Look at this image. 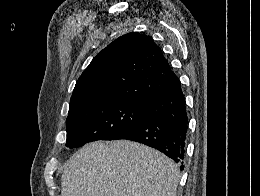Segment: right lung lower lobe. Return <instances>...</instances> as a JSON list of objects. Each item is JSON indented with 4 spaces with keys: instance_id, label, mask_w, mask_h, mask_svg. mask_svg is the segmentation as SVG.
<instances>
[{
    "instance_id": "98d812e1",
    "label": "right lung lower lobe",
    "mask_w": 260,
    "mask_h": 196,
    "mask_svg": "<svg viewBox=\"0 0 260 196\" xmlns=\"http://www.w3.org/2000/svg\"><path fill=\"white\" fill-rule=\"evenodd\" d=\"M149 118L114 140L127 139L153 147L182 164L188 133V116L180 81L140 102Z\"/></svg>"
}]
</instances>
